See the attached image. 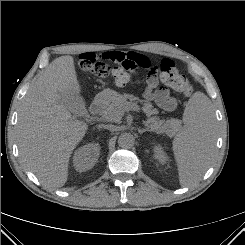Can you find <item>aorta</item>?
I'll list each match as a JSON object with an SVG mask.
<instances>
[{
	"instance_id": "obj_1",
	"label": "aorta",
	"mask_w": 245,
	"mask_h": 245,
	"mask_svg": "<svg viewBox=\"0 0 245 245\" xmlns=\"http://www.w3.org/2000/svg\"><path fill=\"white\" fill-rule=\"evenodd\" d=\"M135 138L131 133H122L118 138V145L122 148H130L134 145Z\"/></svg>"
}]
</instances>
